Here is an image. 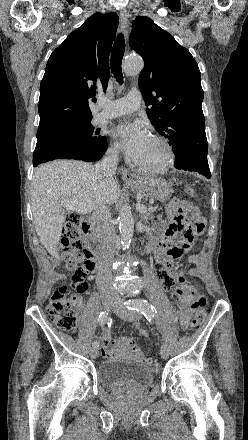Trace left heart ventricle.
I'll return each mask as SVG.
<instances>
[{
	"instance_id": "left-heart-ventricle-1",
	"label": "left heart ventricle",
	"mask_w": 248,
	"mask_h": 440,
	"mask_svg": "<svg viewBox=\"0 0 248 440\" xmlns=\"http://www.w3.org/2000/svg\"><path fill=\"white\" fill-rule=\"evenodd\" d=\"M162 156L163 152L161 147L151 139L148 149L137 163L145 166H154L161 161Z\"/></svg>"
}]
</instances>
